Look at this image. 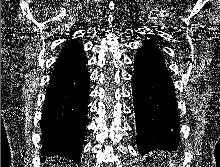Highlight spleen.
Masks as SVG:
<instances>
[{
    "instance_id": "1",
    "label": "spleen",
    "mask_w": 220,
    "mask_h": 167,
    "mask_svg": "<svg viewBox=\"0 0 220 167\" xmlns=\"http://www.w3.org/2000/svg\"><path fill=\"white\" fill-rule=\"evenodd\" d=\"M170 167H175V166H174V164H171V163H170Z\"/></svg>"
}]
</instances>
